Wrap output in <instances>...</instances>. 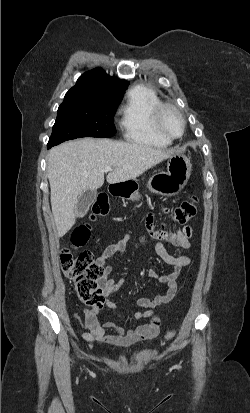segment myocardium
<instances>
[{
	"label": "myocardium",
	"mask_w": 250,
	"mask_h": 413,
	"mask_svg": "<svg viewBox=\"0 0 250 413\" xmlns=\"http://www.w3.org/2000/svg\"><path fill=\"white\" fill-rule=\"evenodd\" d=\"M166 111H171L179 117V119L181 121V124H182V130H181V133L179 135H172L164 129L163 124H162V117H163V114ZM153 126H154V129L156 130V132L159 135H161L162 137L172 141V140L180 138L184 134L185 128H186V121H185V118H184L183 114L181 113V111L177 107H175L174 105L169 104V103H162L161 102L156 107V109L154 111Z\"/></svg>",
	"instance_id": "1"
}]
</instances>
